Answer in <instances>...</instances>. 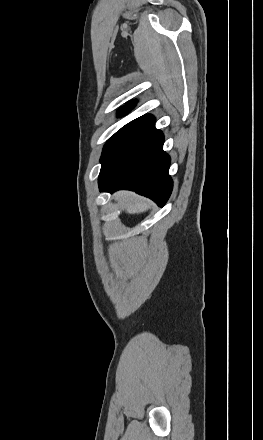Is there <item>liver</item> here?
<instances>
[{
  "label": "liver",
  "instance_id": "1",
  "mask_svg": "<svg viewBox=\"0 0 263 440\" xmlns=\"http://www.w3.org/2000/svg\"><path fill=\"white\" fill-rule=\"evenodd\" d=\"M115 199L125 203L126 211L129 214H139L150 208L149 202L126 191L116 193Z\"/></svg>",
  "mask_w": 263,
  "mask_h": 440
}]
</instances>
